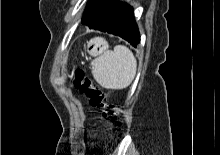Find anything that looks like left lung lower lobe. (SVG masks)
Here are the masks:
<instances>
[{
    "label": "left lung lower lobe",
    "mask_w": 220,
    "mask_h": 155,
    "mask_svg": "<svg viewBox=\"0 0 220 155\" xmlns=\"http://www.w3.org/2000/svg\"><path fill=\"white\" fill-rule=\"evenodd\" d=\"M83 25L119 36L136 47L140 34L134 20L133 8L116 0H97L81 19Z\"/></svg>",
    "instance_id": "obj_1"
}]
</instances>
